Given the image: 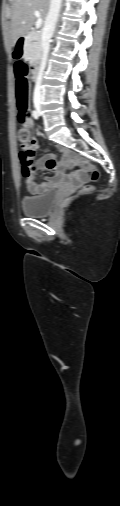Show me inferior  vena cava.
<instances>
[{
    "label": "inferior vena cava",
    "mask_w": 120,
    "mask_h": 506,
    "mask_svg": "<svg viewBox=\"0 0 120 506\" xmlns=\"http://www.w3.org/2000/svg\"><path fill=\"white\" fill-rule=\"evenodd\" d=\"M62 0H50L49 11L45 18L43 32H42V59L38 73L36 86L34 89V102L41 101V81L46 67L47 57L50 49V41L53 36L58 16L61 9Z\"/></svg>",
    "instance_id": "1"
}]
</instances>
